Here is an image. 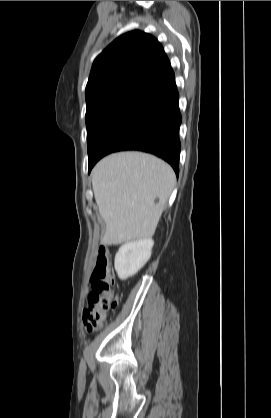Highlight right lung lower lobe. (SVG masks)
<instances>
[{
    "mask_svg": "<svg viewBox=\"0 0 271 418\" xmlns=\"http://www.w3.org/2000/svg\"><path fill=\"white\" fill-rule=\"evenodd\" d=\"M178 97L175 88L125 124L108 140L95 161L89 165V172L107 154L138 150L164 159L178 176L181 148L179 126L182 120Z\"/></svg>",
    "mask_w": 271,
    "mask_h": 418,
    "instance_id": "98d812e1",
    "label": "right lung lower lobe"
}]
</instances>
